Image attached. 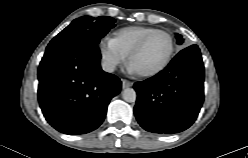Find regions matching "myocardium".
<instances>
[{
    "label": "myocardium",
    "instance_id": "myocardium-1",
    "mask_svg": "<svg viewBox=\"0 0 248 158\" xmlns=\"http://www.w3.org/2000/svg\"><path fill=\"white\" fill-rule=\"evenodd\" d=\"M155 34L166 35L170 41V49H169L167 57L165 58V60L163 61V63L161 65H159L158 67H156L152 70H149V71L137 72L140 76H143V77L155 76V75L159 74L160 72H162L171 62L173 55H174V52H175V40H174L173 36L165 30L155 29L154 31L149 32L144 37H142V39L130 51V53L128 55V61L130 63H131L133 57L136 56L143 49V47L146 45L147 41Z\"/></svg>",
    "mask_w": 248,
    "mask_h": 158
}]
</instances>
